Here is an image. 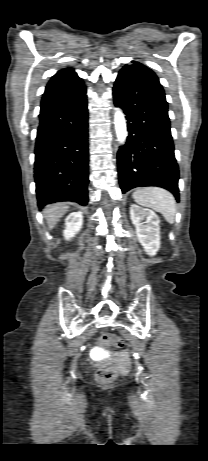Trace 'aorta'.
Returning <instances> with one entry per match:
<instances>
[{
  "label": "aorta",
  "mask_w": 208,
  "mask_h": 461,
  "mask_svg": "<svg viewBox=\"0 0 208 461\" xmlns=\"http://www.w3.org/2000/svg\"><path fill=\"white\" fill-rule=\"evenodd\" d=\"M114 125L119 144H124L127 137V127L124 114L119 108L115 110Z\"/></svg>",
  "instance_id": "762f6f07"
}]
</instances>
